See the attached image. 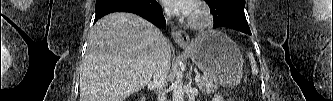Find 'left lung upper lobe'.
<instances>
[{
  "instance_id": "1",
  "label": "left lung upper lobe",
  "mask_w": 333,
  "mask_h": 101,
  "mask_svg": "<svg viewBox=\"0 0 333 101\" xmlns=\"http://www.w3.org/2000/svg\"><path fill=\"white\" fill-rule=\"evenodd\" d=\"M230 8H231V6H226V7H224L223 8V10H230ZM233 13L236 15V16H243V17H245V13H244V11L243 10H233Z\"/></svg>"
}]
</instances>
